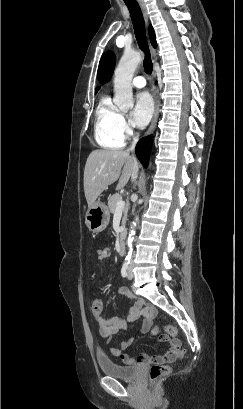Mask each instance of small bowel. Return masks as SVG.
Returning <instances> with one entry per match:
<instances>
[{"label": "small bowel", "mask_w": 243, "mask_h": 409, "mask_svg": "<svg viewBox=\"0 0 243 409\" xmlns=\"http://www.w3.org/2000/svg\"><path fill=\"white\" fill-rule=\"evenodd\" d=\"M111 252L108 248L103 247L99 248L97 250V257L98 260L101 262H105L110 258ZM120 294L128 297V298H134L133 293L131 290L127 287H123L119 291ZM156 316V309L153 305L147 303L143 299L140 298H135L133 306L131 307L130 310V315L128 317V321H134L137 320L140 317H143V325L141 332L143 334H146L150 331L152 323L155 319ZM93 319L94 322L98 326L99 333L101 337L105 338L106 341L109 343L112 340V337L114 334L117 332L123 330L127 326V322L118 317V316H104L103 314L97 313L93 314ZM134 337H129L124 340H122L120 347L121 349L114 347V346H109L108 351L111 355L115 357H119L124 363L126 364H144L150 361L156 362V363H171L177 360V358L180 356L181 350V342L178 339H173L168 335L163 336L160 339L161 343H167L169 344L168 350L163 354L159 356H155L151 358L148 355H140L137 358L131 357L127 353H123L122 350L127 349L131 346V344L134 341Z\"/></svg>", "instance_id": "small-bowel-1"}]
</instances>
